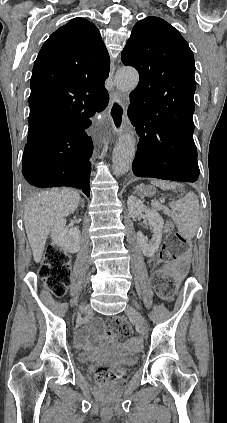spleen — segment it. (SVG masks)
Here are the masks:
<instances>
[{"label":"spleen","mask_w":227,"mask_h":423,"mask_svg":"<svg viewBox=\"0 0 227 423\" xmlns=\"http://www.w3.org/2000/svg\"><path fill=\"white\" fill-rule=\"evenodd\" d=\"M151 184L159 186L161 190H172L176 186H181V184H173V182L170 184V182H162V180H151ZM152 206L160 208L163 213L172 217L182 237H186V239L194 237L199 219V200L194 192H188L184 198L177 200V202H170L169 208H172V210H169L166 206H161L156 200H152Z\"/></svg>","instance_id":"obj_1"}]
</instances>
